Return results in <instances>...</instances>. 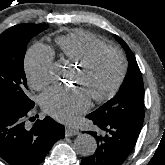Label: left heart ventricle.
I'll return each instance as SVG.
<instances>
[{
	"label": "left heart ventricle",
	"instance_id": "obj_1",
	"mask_svg": "<svg viewBox=\"0 0 165 165\" xmlns=\"http://www.w3.org/2000/svg\"><path fill=\"white\" fill-rule=\"evenodd\" d=\"M119 71L118 56L112 52H104L88 69L84 71L77 69L73 82L92 98L107 92L116 81Z\"/></svg>",
	"mask_w": 165,
	"mask_h": 165
}]
</instances>
